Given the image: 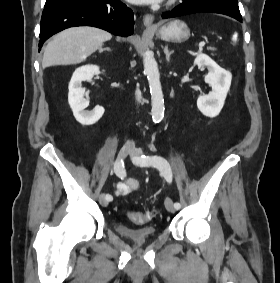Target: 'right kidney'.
I'll return each instance as SVG.
<instances>
[{
	"label": "right kidney",
	"instance_id": "obj_1",
	"mask_svg": "<svg viewBox=\"0 0 280 283\" xmlns=\"http://www.w3.org/2000/svg\"><path fill=\"white\" fill-rule=\"evenodd\" d=\"M99 73V67L96 65L81 66L75 70L69 83L68 102L75 119L82 125L95 124L104 114V108L101 106H96L92 111L85 110L89 102L83 98L85 89L82 82Z\"/></svg>",
	"mask_w": 280,
	"mask_h": 283
}]
</instances>
